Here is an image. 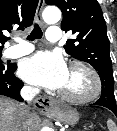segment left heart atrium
<instances>
[{"label": "left heart atrium", "instance_id": "1", "mask_svg": "<svg viewBox=\"0 0 117 131\" xmlns=\"http://www.w3.org/2000/svg\"><path fill=\"white\" fill-rule=\"evenodd\" d=\"M19 72L31 84L60 89L66 80L68 68L59 53L42 51L23 60Z\"/></svg>", "mask_w": 117, "mask_h": 131}]
</instances>
